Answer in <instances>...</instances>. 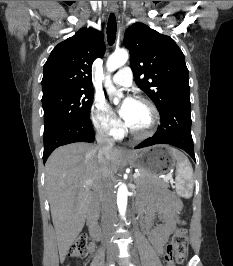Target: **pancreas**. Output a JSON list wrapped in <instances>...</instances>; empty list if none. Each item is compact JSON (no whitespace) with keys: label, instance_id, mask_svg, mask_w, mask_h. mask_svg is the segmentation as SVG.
<instances>
[{"label":"pancreas","instance_id":"pancreas-1","mask_svg":"<svg viewBox=\"0 0 233 266\" xmlns=\"http://www.w3.org/2000/svg\"><path fill=\"white\" fill-rule=\"evenodd\" d=\"M140 176L135 179V184L140 187L147 184L165 185V181L160 179L158 175L140 170Z\"/></svg>","mask_w":233,"mask_h":266}]
</instances>
